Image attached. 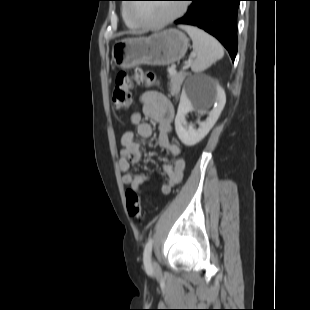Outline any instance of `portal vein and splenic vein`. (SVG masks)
Listing matches in <instances>:
<instances>
[{
    "mask_svg": "<svg viewBox=\"0 0 310 310\" xmlns=\"http://www.w3.org/2000/svg\"><path fill=\"white\" fill-rule=\"evenodd\" d=\"M193 57H194V55H193ZM189 64H190V60L188 61L187 66H189ZM169 72L172 73V72H175V70H174L173 68H170V69H169Z\"/></svg>",
    "mask_w": 310,
    "mask_h": 310,
    "instance_id": "portal-vein-and-splenic-vein-1",
    "label": "portal vein and splenic vein"
}]
</instances>
